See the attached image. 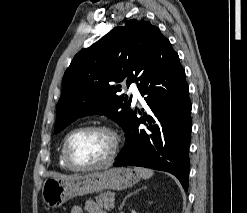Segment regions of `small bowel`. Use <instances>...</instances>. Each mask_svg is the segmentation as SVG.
I'll list each match as a JSON object with an SVG mask.
<instances>
[{
	"label": "small bowel",
	"instance_id": "obj_1",
	"mask_svg": "<svg viewBox=\"0 0 247 213\" xmlns=\"http://www.w3.org/2000/svg\"><path fill=\"white\" fill-rule=\"evenodd\" d=\"M86 210L88 213H105L94 201H87ZM70 213H84L80 206H73Z\"/></svg>",
	"mask_w": 247,
	"mask_h": 213
}]
</instances>
